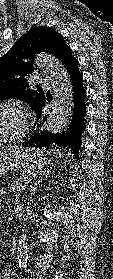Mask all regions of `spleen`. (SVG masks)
Instances as JSON below:
<instances>
[{"label": "spleen", "mask_w": 113, "mask_h": 279, "mask_svg": "<svg viewBox=\"0 0 113 279\" xmlns=\"http://www.w3.org/2000/svg\"><path fill=\"white\" fill-rule=\"evenodd\" d=\"M57 154H58L59 158H62V154L59 151L57 152Z\"/></svg>", "instance_id": "3e777b00"}]
</instances>
